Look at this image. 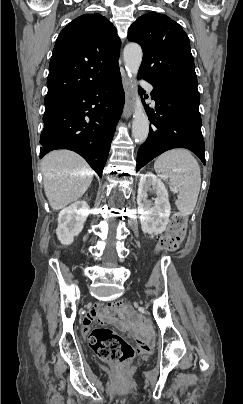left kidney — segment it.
<instances>
[{
	"mask_svg": "<svg viewBox=\"0 0 243 404\" xmlns=\"http://www.w3.org/2000/svg\"><path fill=\"white\" fill-rule=\"evenodd\" d=\"M147 192H155L157 198L153 202L147 200ZM138 214L142 232L150 234V238L163 234L169 224L171 206L169 204L168 192L161 180L157 176L147 172L141 174L138 186Z\"/></svg>",
	"mask_w": 243,
	"mask_h": 404,
	"instance_id": "obj_1",
	"label": "left kidney"
}]
</instances>
